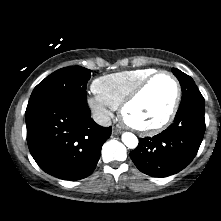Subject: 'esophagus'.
<instances>
[{
    "mask_svg": "<svg viewBox=\"0 0 221 221\" xmlns=\"http://www.w3.org/2000/svg\"><path fill=\"white\" fill-rule=\"evenodd\" d=\"M121 132H122L121 129H119L118 127H116V126L112 127V133L114 135L120 134Z\"/></svg>",
    "mask_w": 221,
    "mask_h": 221,
    "instance_id": "obj_1",
    "label": "esophagus"
}]
</instances>
